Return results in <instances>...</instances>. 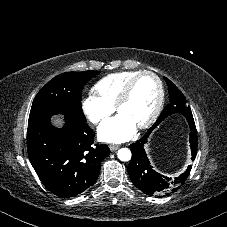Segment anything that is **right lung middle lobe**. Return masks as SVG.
Here are the masks:
<instances>
[{
    "label": "right lung middle lobe",
    "mask_w": 227,
    "mask_h": 227,
    "mask_svg": "<svg viewBox=\"0 0 227 227\" xmlns=\"http://www.w3.org/2000/svg\"><path fill=\"white\" fill-rule=\"evenodd\" d=\"M100 71L66 72L49 81L36 95L28 120V127L54 114L86 122L81 95L85 84Z\"/></svg>",
    "instance_id": "obj_1"
}]
</instances>
